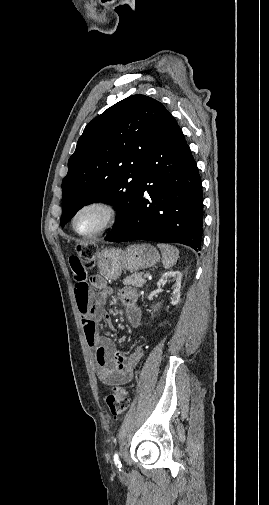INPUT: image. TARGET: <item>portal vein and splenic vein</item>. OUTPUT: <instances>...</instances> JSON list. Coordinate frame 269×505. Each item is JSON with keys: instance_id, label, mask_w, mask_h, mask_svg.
<instances>
[{"instance_id": "18ae733b", "label": "portal vein and splenic vein", "mask_w": 269, "mask_h": 505, "mask_svg": "<svg viewBox=\"0 0 269 505\" xmlns=\"http://www.w3.org/2000/svg\"><path fill=\"white\" fill-rule=\"evenodd\" d=\"M146 277H148V275H147V274H145V275H144V278H146Z\"/></svg>"}]
</instances>
